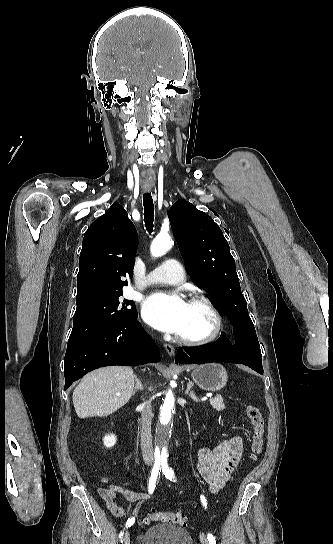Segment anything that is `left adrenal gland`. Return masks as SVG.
I'll list each match as a JSON object with an SVG mask.
<instances>
[{
	"label": "left adrenal gland",
	"mask_w": 333,
	"mask_h": 544,
	"mask_svg": "<svg viewBox=\"0 0 333 544\" xmlns=\"http://www.w3.org/2000/svg\"><path fill=\"white\" fill-rule=\"evenodd\" d=\"M192 386H193V382H192V381H189L188 384H187V389H186V392H185V393H186L190 398H192L194 401L197 402V401H198V398H197L196 395L193 393V391H190L191 388H192Z\"/></svg>",
	"instance_id": "obj_1"
}]
</instances>
